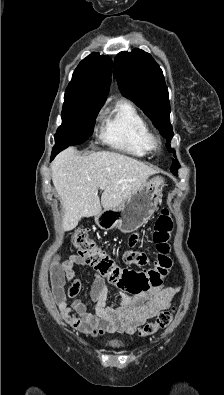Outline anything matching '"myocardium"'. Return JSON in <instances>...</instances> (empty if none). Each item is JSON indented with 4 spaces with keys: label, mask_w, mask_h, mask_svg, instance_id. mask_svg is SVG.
I'll return each mask as SVG.
<instances>
[{
    "label": "myocardium",
    "mask_w": 224,
    "mask_h": 395,
    "mask_svg": "<svg viewBox=\"0 0 224 395\" xmlns=\"http://www.w3.org/2000/svg\"><path fill=\"white\" fill-rule=\"evenodd\" d=\"M148 145H149L150 151H153V152H160L161 151V148H162L161 140L151 133L148 138Z\"/></svg>",
    "instance_id": "obj_1"
}]
</instances>
